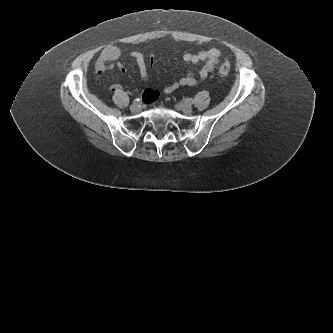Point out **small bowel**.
<instances>
[{
	"label": "small bowel",
	"instance_id": "small-bowel-1",
	"mask_svg": "<svg viewBox=\"0 0 333 333\" xmlns=\"http://www.w3.org/2000/svg\"><path fill=\"white\" fill-rule=\"evenodd\" d=\"M120 56L121 50L118 46L109 45L103 49L100 55V59L96 64V69H94L92 72L93 78L91 83L93 86L98 87L101 85L103 71H105L109 65L117 62ZM220 56L221 52L216 48L204 50L197 54L184 53L182 59L185 63L190 65L203 63V66L197 71V75L193 71H189L184 77L166 86L163 89V92L170 94L180 87L195 86L199 84L201 81L207 78L210 72L216 68ZM131 57L138 66L140 76L142 79L146 80L148 78V68L145 56L140 52L134 51L131 53ZM118 68L122 73L125 72V69L121 65H118ZM120 88L121 87L119 84H113L111 85L110 90L112 92H116ZM158 91L159 90L156 88L145 90L141 95L143 102L146 105H151L154 101H157L160 98V93Z\"/></svg>",
	"mask_w": 333,
	"mask_h": 333
}]
</instances>
